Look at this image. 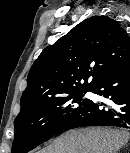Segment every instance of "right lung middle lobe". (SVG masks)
Here are the masks:
<instances>
[{
  "label": "right lung middle lobe",
  "instance_id": "obj_1",
  "mask_svg": "<svg viewBox=\"0 0 130 153\" xmlns=\"http://www.w3.org/2000/svg\"><path fill=\"white\" fill-rule=\"evenodd\" d=\"M87 91L71 93L22 113L14 120L12 153H27L61 132L69 121L90 102Z\"/></svg>",
  "mask_w": 130,
  "mask_h": 153
}]
</instances>
